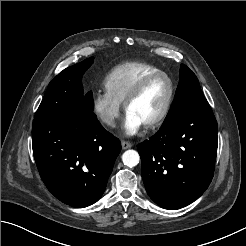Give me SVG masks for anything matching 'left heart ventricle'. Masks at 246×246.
I'll list each match as a JSON object with an SVG mask.
<instances>
[{
  "instance_id": "left-heart-ventricle-1",
  "label": "left heart ventricle",
  "mask_w": 246,
  "mask_h": 246,
  "mask_svg": "<svg viewBox=\"0 0 246 246\" xmlns=\"http://www.w3.org/2000/svg\"><path fill=\"white\" fill-rule=\"evenodd\" d=\"M169 90L170 87L166 78L154 79L129 106L128 112L139 118L144 125L147 124L156 118L164 108Z\"/></svg>"
}]
</instances>
